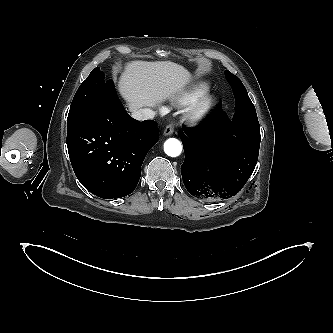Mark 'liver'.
I'll return each instance as SVG.
<instances>
[{
	"label": "liver",
	"instance_id": "obj_1",
	"mask_svg": "<svg viewBox=\"0 0 333 333\" xmlns=\"http://www.w3.org/2000/svg\"><path fill=\"white\" fill-rule=\"evenodd\" d=\"M190 81V72L174 62L137 60L126 63L118 90L133 112L175 97Z\"/></svg>",
	"mask_w": 333,
	"mask_h": 333
}]
</instances>
